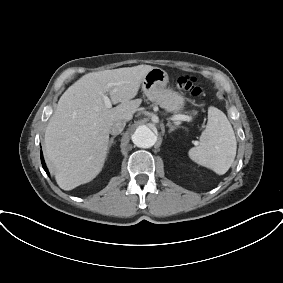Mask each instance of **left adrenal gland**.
<instances>
[{
	"label": "left adrenal gland",
	"instance_id": "a2214340",
	"mask_svg": "<svg viewBox=\"0 0 283 283\" xmlns=\"http://www.w3.org/2000/svg\"><path fill=\"white\" fill-rule=\"evenodd\" d=\"M167 126L170 128L169 131H168L169 133L173 132L176 129L175 126L170 125L169 123H167Z\"/></svg>",
	"mask_w": 283,
	"mask_h": 283
}]
</instances>
